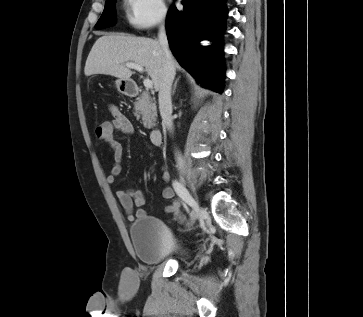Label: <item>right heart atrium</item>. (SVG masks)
<instances>
[{"label":"right heart atrium","instance_id":"d8ad5b80","mask_svg":"<svg viewBox=\"0 0 363 317\" xmlns=\"http://www.w3.org/2000/svg\"><path fill=\"white\" fill-rule=\"evenodd\" d=\"M124 9L128 23L138 30L162 24L168 13L164 0H124Z\"/></svg>","mask_w":363,"mask_h":317}]
</instances>
